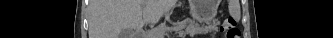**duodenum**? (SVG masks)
<instances>
[{
	"mask_svg": "<svg viewBox=\"0 0 333 38\" xmlns=\"http://www.w3.org/2000/svg\"><path fill=\"white\" fill-rule=\"evenodd\" d=\"M144 32H140V36H141V38H143L144 37Z\"/></svg>",
	"mask_w": 333,
	"mask_h": 38,
	"instance_id": "410a0bca",
	"label": "duodenum"
}]
</instances>
